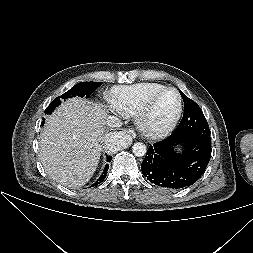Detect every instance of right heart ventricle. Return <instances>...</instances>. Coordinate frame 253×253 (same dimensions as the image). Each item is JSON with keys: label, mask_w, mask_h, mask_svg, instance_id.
Returning <instances> with one entry per match:
<instances>
[{"label": "right heart ventricle", "mask_w": 253, "mask_h": 253, "mask_svg": "<svg viewBox=\"0 0 253 253\" xmlns=\"http://www.w3.org/2000/svg\"><path fill=\"white\" fill-rule=\"evenodd\" d=\"M164 87L162 84L153 82L116 86L110 92V101L118 113L127 117H135L144 100Z\"/></svg>", "instance_id": "1"}]
</instances>
